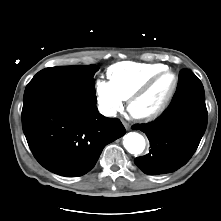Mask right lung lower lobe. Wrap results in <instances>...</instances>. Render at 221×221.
Wrapping results in <instances>:
<instances>
[{
	"label": "right lung lower lobe",
	"mask_w": 221,
	"mask_h": 221,
	"mask_svg": "<svg viewBox=\"0 0 221 221\" xmlns=\"http://www.w3.org/2000/svg\"><path fill=\"white\" fill-rule=\"evenodd\" d=\"M95 94L51 86L26 88L22 127L36 160L66 177L86 174L103 148L126 130L119 119L99 114Z\"/></svg>",
	"instance_id": "obj_1"
}]
</instances>
